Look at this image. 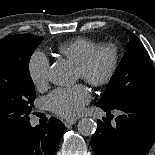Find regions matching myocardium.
Segmentation results:
<instances>
[{"label": "myocardium", "mask_w": 155, "mask_h": 155, "mask_svg": "<svg viewBox=\"0 0 155 155\" xmlns=\"http://www.w3.org/2000/svg\"><path fill=\"white\" fill-rule=\"evenodd\" d=\"M107 56L108 64L102 73H97L96 68L102 56ZM120 63L118 47L114 44H102L95 48L80 64L77 65L80 77L89 84L101 87L112 81Z\"/></svg>", "instance_id": "1"}]
</instances>
